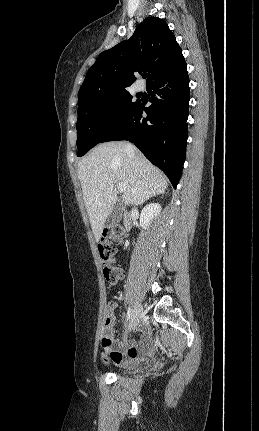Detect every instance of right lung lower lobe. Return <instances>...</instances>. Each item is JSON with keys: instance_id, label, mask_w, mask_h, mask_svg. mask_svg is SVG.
Instances as JSON below:
<instances>
[{"instance_id": "98d812e1", "label": "right lung lower lobe", "mask_w": 259, "mask_h": 431, "mask_svg": "<svg viewBox=\"0 0 259 431\" xmlns=\"http://www.w3.org/2000/svg\"><path fill=\"white\" fill-rule=\"evenodd\" d=\"M186 63L147 85L151 106L138 102L102 142L129 140L176 188L182 174L188 138L190 99ZM153 90V91H151ZM147 117L143 118L142 113Z\"/></svg>"}]
</instances>
